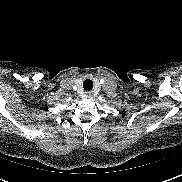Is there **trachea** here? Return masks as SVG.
Listing matches in <instances>:
<instances>
[{"label": "trachea", "mask_w": 182, "mask_h": 182, "mask_svg": "<svg viewBox=\"0 0 182 182\" xmlns=\"http://www.w3.org/2000/svg\"><path fill=\"white\" fill-rule=\"evenodd\" d=\"M83 88H84V90H92V88H93V81L90 80V79H86L83 82Z\"/></svg>", "instance_id": "obj_1"}]
</instances>
